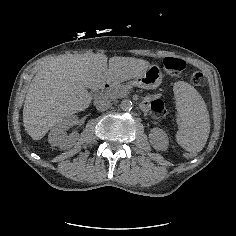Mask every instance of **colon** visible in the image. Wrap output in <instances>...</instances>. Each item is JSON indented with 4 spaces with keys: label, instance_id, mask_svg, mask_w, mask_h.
<instances>
[{
    "label": "colon",
    "instance_id": "colon-1",
    "mask_svg": "<svg viewBox=\"0 0 236 236\" xmlns=\"http://www.w3.org/2000/svg\"><path fill=\"white\" fill-rule=\"evenodd\" d=\"M162 65L169 74L180 73L186 68V62L182 58L171 56L163 58ZM190 82L196 87L203 86L206 83L204 73L200 70L193 71L190 75ZM150 108L152 113L157 117H164L166 115V106L160 97L153 98Z\"/></svg>",
    "mask_w": 236,
    "mask_h": 236
}]
</instances>
